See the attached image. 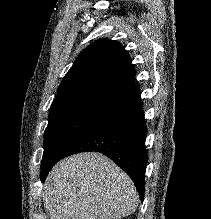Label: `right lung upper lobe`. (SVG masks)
<instances>
[{"mask_svg": "<svg viewBox=\"0 0 211 219\" xmlns=\"http://www.w3.org/2000/svg\"><path fill=\"white\" fill-rule=\"evenodd\" d=\"M130 56L117 42L99 39L85 48L64 77L52 105L95 98L118 107L140 95Z\"/></svg>", "mask_w": 211, "mask_h": 219, "instance_id": "obj_1", "label": "right lung upper lobe"}]
</instances>
